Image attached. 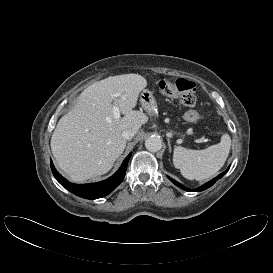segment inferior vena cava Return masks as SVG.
<instances>
[{
    "instance_id": "inferior-vena-cava-1",
    "label": "inferior vena cava",
    "mask_w": 273,
    "mask_h": 273,
    "mask_svg": "<svg viewBox=\"0 0 273 273\" xmlns=\"http://www.w3.org/2000/svg\"><path fill=\"white\" fill-rule=\"evenodd\" d=\"M135 135V132L131 129H128V130H124L122 132V137L125 139V140H130L134 137Z\"/></svg>"
}]
</instances>
